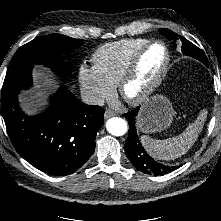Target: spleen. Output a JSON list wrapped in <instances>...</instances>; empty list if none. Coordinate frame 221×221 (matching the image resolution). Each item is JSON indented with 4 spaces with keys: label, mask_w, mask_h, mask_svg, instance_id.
Returning a JSON list of instances; mask_svg holds the SVG:
<instances>
[{
    "label": "spleen",
    "mask_w": 221,
    "mask_h": 221,
    "mask_svg": "<svg viewBox=\"0 0 221 221\" xmlns=\"http://www.w3.org/2000/svg\"><path fill=\"white\" fill-rule=\"evenodd\" d=\"M207 118V111L202 110L194 123L189 124L178 136L168 139H154L147 135L141 137V142L148 153L158 160H174L184 155L197 141Z\"/></svg>",
    "instance_id": "1"
}]
</instances>
